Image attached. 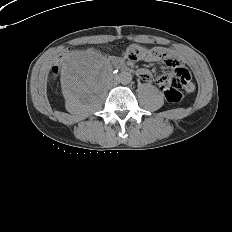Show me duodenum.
<instances>
[{"mask_svg": "<svg viewBox=\"0 0 232 232\" xmlns=\"http://www.w3.org/2000/svg\"><path fill=\"white\" fill-rule=\"evenodd\" d=\"M116 68L119 69L120 71H123V72H132L131 68L123 62L117 61Z\"/></svg>", "mask_w": 232, "mask_h": 232, "instance_id": "1", "label": "duodenum"}]
</instances>
